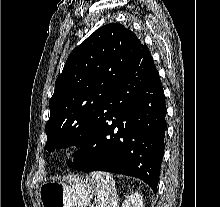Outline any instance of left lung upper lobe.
Listing matches in <instances>:
<instances>
[{
	"label": "left lung upper lobe",
	"instance_id": "obj_1",
	"mask_svg": "<svg viewBox=\"0 0 220 207\" xmlns=\"http://www.w3.org/2000/svg\"><path fill=\"white\" fill-rule=\"evenodd\" d=\"M140 45L132 31L110 23L71 52L49 101L46 150L80 146L88 138Z\"/></svg>",
	"mask_w": 220,
	"mask_h": 207
}]
</instances>
